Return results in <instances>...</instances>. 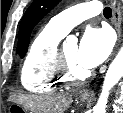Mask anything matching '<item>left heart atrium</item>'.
<instances>
[{"instance_id":"left-heart-atrium-1","label":"left heart atrium","mask_w":123,"mask_h":113,"mask_svg":"<svg viewBox=\"0 0 123 113\" xmlns=\"http://www.w3.org/2000/svg\"><path fill=\"white\" fill-rule=\"evenodd\" d=\"M112 38L105 29L85 30L77 49V62L85 69H92L104 62L112 50Z\"/></svg>"}]
</instances>
